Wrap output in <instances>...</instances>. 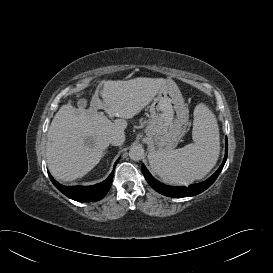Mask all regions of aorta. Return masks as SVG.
Segmentation results:
<instances>
[{"label":"aorta","instance_id":"aorta-1","mask_svg":"<svg viewBox=\"0 0 273 273\" xmlns=\"http://www.w3.org/2000/svg\"><path fill=\"white\" fill-rule=\"evenodd\" d=\"M145 152L141 145H134L129 150V157L134 161H140L144 158Z\"/></svg>","mask_w":273,"mask_h":273}]
</instances>
